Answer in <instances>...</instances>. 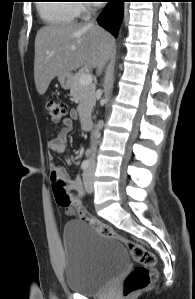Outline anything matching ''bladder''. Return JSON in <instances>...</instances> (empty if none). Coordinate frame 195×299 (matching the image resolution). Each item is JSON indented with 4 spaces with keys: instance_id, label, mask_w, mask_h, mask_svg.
Returning <instances> with one entry per match:
<instances>
[{
    "instance_id": "bladder-1",
    "label": "bladder",
    "mask_w": 195,
    "mask_h": 299,
    "mask_svg": "<svg viewBox=\"0 0 195 299\" xmlns=\"http://www.w3.org/2000/svg\"><path fill=\"white\" fill-rule=\"evenodd\" d=\"M64 280L68 290L93 295L129 265L126 249L87 222L69 221L63 230Z\"/></svg>"
}]
</instances>
